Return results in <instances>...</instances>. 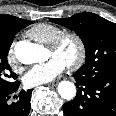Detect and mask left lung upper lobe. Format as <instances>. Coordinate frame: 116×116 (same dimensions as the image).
Segmentation results:
<instances>
[{
  "instance_id": "5c2ea615",
  "label": "left lung upper lobe",
  "mask_w": 116,
  "mask_h": 116,
  "mask_svg": "<svg viewBox=\"0 0 116 116\" xmlns=\"http://www.w3.org/2000/svg\"><path fill=\"white\" fill-rule=\"evenodd\" d=\"M50 20L73 30L83 41L86 60L77 73L86 78L116 73V23L89 12Z\"/></svg>"
}]
</instances>
